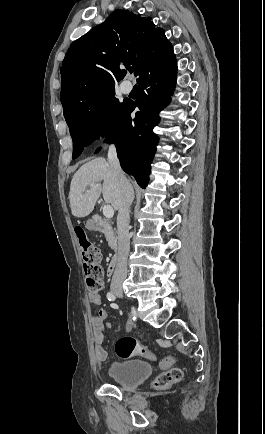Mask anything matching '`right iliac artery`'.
Wrapping results in <instances>:
<instances>
[{
  "instance_id": "right-iliac-artery-1",
  "label": "right iliac artery",
  "mask_w": 265,
  "mask_h": 434,
  "mask_svg": "<svg viewBox=\"0 0 265 434\" xmlns=\"http://www.w3.org/2000/svg\"><path fill=\"white\" fill-rule=\"evenodd\" d=\"M107 299L109 301H114L116 299V295L113 292H108L107 293ZM132 314L134 316L133 318L135 319L136 318V311L134 309L132 310Z\"/></svg>"
}]
</instances>
